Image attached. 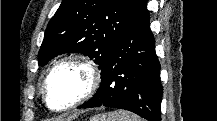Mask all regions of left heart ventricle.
Listing matches in <instances>:
<instances>
[{
	"label": "left heart ventricle",
	"mask_w": 217,
	"mask_h": 121,
	"mask_svg": "<svg viewBox=\"0 0 217 121\" xmlns=\"http://www.w3.org/2000/svg\"><path fill=\"white\" fill-rule=\"evenodd\" d=\"M89 84L88 71L77 65L59 68L49 82L50 103L55 108L66 106L77 99Z\"/></svg>",
	"instance_id": "obj_1"
}]
</instances>
